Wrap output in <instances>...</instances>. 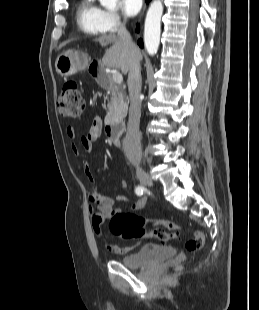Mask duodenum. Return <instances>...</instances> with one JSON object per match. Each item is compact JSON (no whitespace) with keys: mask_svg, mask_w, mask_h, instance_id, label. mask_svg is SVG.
Masks as SVG:
<instances>
[{"mask_svg":"<svg viewBox=\"0 0 259 310\" xmlns=\"http://www.w3.org/2000/svg\"><path fill=\"white\" fill-rule=\"evenodd\" d=\"M89 72L99 80L101 85L103 87H110L111 86V81L106 73H104L101 69V66L99 65L98 62H94L93 64L89 65ZM105 132L107 137L115 142H119V135L121 132V125L116 122H111L108 121L105 126Z\"/></svg>","mask_w":259,"mask_h":310,"instance_id":"duodenum-1","label":"duodenum"}]
</instances>
